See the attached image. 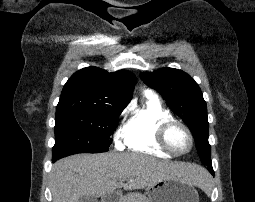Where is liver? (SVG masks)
<instances>
[{
  "instance_id": "obj_1",
  "label": "liver",
  "mask_w": 255,
  "mask_h": 202,
  "mask_svg": "<svg viewBox=\"0 0 255 202\" xmlns=\"http://www.w3.org/2000/svg\"><path fill=\"white\" fill-rule=\"evenodd\" d=\"M205 176L208 174L198 165L139 153L78 154L53 165L51 191L53 202H78L86 195L98 198L119 188L143 189L169 178L203 187Z\"/></svg>"
}]
</instances>
